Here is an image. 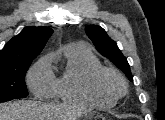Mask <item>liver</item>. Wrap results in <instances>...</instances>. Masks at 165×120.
<instances>
[{
	"label": "liver",
	"mask_w": 165,
	"mask_h": 120,
	"mask_svg": "<svg viewBox=\"0 0 165 120\" xmlns=\"http://www.w3.org/2000/svg\"><path fill=\"white\" fill-rule=\"evenodd\" d=\"M69 120H74L78 115L86 112V109H74L63 107ZM61 108L55 105L45 104L39 101H15L0 103V120H52L61 114Z\"/></svg>",
	"instance_id": "1"
}]
</instances>
